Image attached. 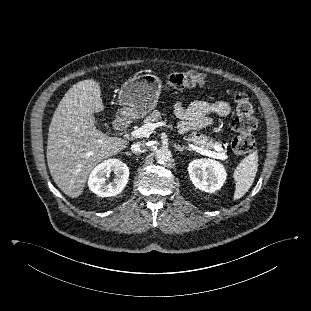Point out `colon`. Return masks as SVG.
<instances>
[{
  "label": "colon",
  "instance_id": "colon-1",
  "mask_svg": "<svg viewBox=\"0 0 311 311\" xmlns=\"http://www.w3.org/2000/svg\"><path fill=\"white\" fill-rule=\"evenodd\" d=\"M205 76L197 71H183L171 73L166 78V84L175 89H185L202 85ZM235 116L231 122L232 129L237 133L233 139V150L239 155L251 152L255 147L254 131L258 126L255 117V107L248 95L241 91H234Z\"/></svg>",
  "mask_w": 311,
  "mask_h": 311
}]
</instances>
